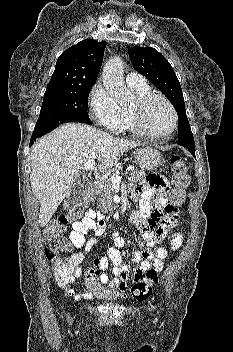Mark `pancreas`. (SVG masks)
Listing matches in <instances>:
<instances>
[{"label":"pancreas","instance_id":"1","mask_svg":"<svg viewBox=\"0 0 233 352\" xmlns=\"http://www.w3.org/2000/svg\"><path fill=\"white\" fill-rule=\"evenodd\" d=\"M145 173L142 170H135L130 173V179L133 182L140 181L144 179ZM114 192V186L111 182V180H104L102 182L100 191H99V199H98V207L103 211V212H109L112 211L113 208L115 207L112 194Z\"/></svg>","mask_w":233,"mask_h":352}]
</instances>
